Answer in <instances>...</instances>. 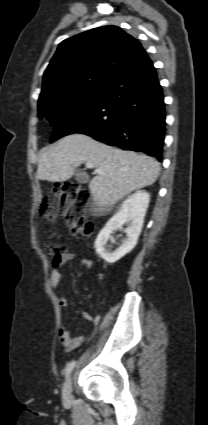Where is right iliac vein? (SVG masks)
I'll return each mask as SVG.
<instances>
[{"label":"right iliac vein","instance_id":"63e3f726","mask_svg":"<svg viewBox=\"0 0 208 425\" xmlns=\"http://www.w3.org/2000/svg\"><path fill=\"white\" fill-rule=\"evenodd\" d=\"M62 398L64 404L70 403L72 399V380L71 377H68L64 382V386L62 389Z\"/></svg>","mask_w":208,"mask_h":425}]
</instances>
